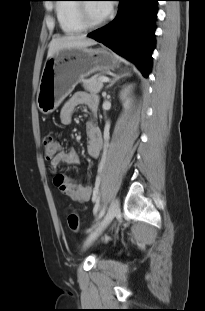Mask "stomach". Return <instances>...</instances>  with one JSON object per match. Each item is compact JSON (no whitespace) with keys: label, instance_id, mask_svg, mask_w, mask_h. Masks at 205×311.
I'll use <instances>...</instances> for the list:
<instances>
[{"label":"stomach","instance_id":"obj_1","mask_svg":"<svg viewBox=\"0 0 205 311\" xmlns=\"http://www.w3.org/2000/svg\"><path fill=\"white\" fill-rule=\"evenodd\" d=\"M120 59L103 48L63 49L45 62L37 92V106L52 113L85 77L120 67Z\"/></svg>","mask_w":205,"mask_h":311}]
</instances>
